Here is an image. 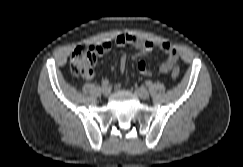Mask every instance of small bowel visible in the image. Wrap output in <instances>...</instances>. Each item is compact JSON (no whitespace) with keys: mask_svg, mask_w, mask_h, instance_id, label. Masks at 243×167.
I'll return each instance as SVG.
<instances>
[{"mask_svg":"<svg viewBox=\"0 0 243 167\" xmlns=\"http://www.w3.org/2000/svg\"><path fill=\"white\" fill-rule=\"evenodd\" d=\"M115 44L118 46L127 44L137 49V53L134 55V59H138L137 69L144 76H150L151 71L148 69L146 62L142 60V57H144L146 54L150 53L156 48H160L161 50H163L167 56L166 60L159 66V71L161 73H168L178 60L177 49L173 47L171 44H169L168 42L157 43L152 40L142 39L135 35L124 33L116 37ZM111 46L112 45L110 42H102L96 46V53L99 56H103L110 51ZM126 62H127L126 54H121L119 58L121 72H124ZM93 76L94 75L92 73L86 78L91 79L93 78Z\"/></svg>","mask_w":243,"mask_h":167,"instance_id":"small-bowel-1","label":"small bowel"}]
</instances>
